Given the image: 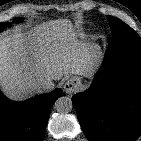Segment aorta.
I'll return each instance as SVG.
<instances>
[{"label":"aorta","mask_w":141,"mask_h":141,"mask_svg":"<svg viewBox=\"0 0 141 141\" xmlns=\"http://www.w3.org/2000/svg\"><path fill=\"white\" fill-rule=\"evenodd\" d=\"M73 103L69 97H60L55 102V109L59 113H68L72 110Z\"/></svg>","instance_id":"1"}]
</instances>
